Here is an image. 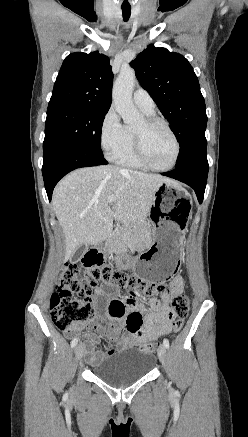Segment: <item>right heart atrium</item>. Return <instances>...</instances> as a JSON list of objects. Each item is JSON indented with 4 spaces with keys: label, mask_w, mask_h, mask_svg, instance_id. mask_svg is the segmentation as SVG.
Returning a JSON list of instances; mask_svg holds the SVG:
<instances>
[{
    "label": "right heart atrium",
    "mask_w": 248,
    "mask_h": 437,
    "mask_svg": "<svg viewBox=\"0 0 248 437\" xmlns=\"http://www.w3.org/2000/svg\"><path fill=\"white\" fill-rule=\"evenodd\" d=\"M99 135L100 145L108 158L115 159L125 149L129 139L128 132L113 107L104 115Z\"/></svg>",
    "instance_id": "1"
}]
</instances>
